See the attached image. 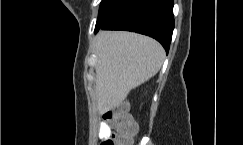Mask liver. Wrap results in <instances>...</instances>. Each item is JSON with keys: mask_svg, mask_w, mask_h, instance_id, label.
<instances>
[{"mask_svg": "<svg viewBox=\"0 0 243 145\" xmlns=\"http://www.w3.org/2000/svg\"><path fill=\"white\" fill-rule=\"evenodd\" d=\"M96 96L100 113L119 107L129 92L161 68L165 51L154 39L130 32L96 36Z\"/></svg>", "mask_w": 243, "mask_h": 145, "instance_id": "6515ba94", "label": "liver"}]
</instances>
